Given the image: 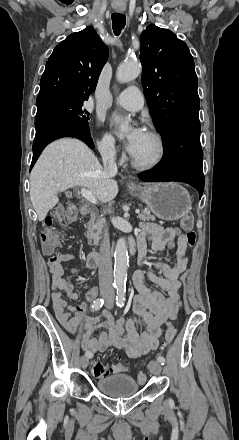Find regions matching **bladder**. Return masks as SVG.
<instances>
[{
  "label": "bladder",
  "mask_w": 239,
  "mask_h": 440,
  "mask_svg": "<svg viewBox=\"0 0 239 440\" xmlns=\"http://www.w3.org/2000/svg\"><path fill=\"white\" fill-rule=\"evenodd\" d=\"M98 390L110 397H128L139 391V384L128 374H113L97 381Z\"/></svg>",
  "instance_id": "obj_1"
}]
</instances>
